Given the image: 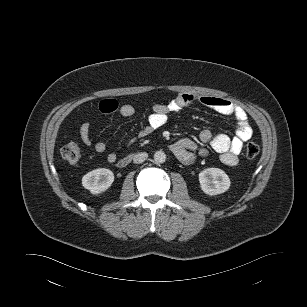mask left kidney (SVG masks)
Listing matches in <instances>:
<instances>
[{
    "mask_svg": "<svg viewBox=\"0 0 307 307\" xmlns=\"http://www.w3.org/2000/svg\"><path fill=\"white\" fill-rule=\"evenodd\" d=\"M202 191L207 195H217L226 192L230 187L228 175L219 168H207L199 173Z\"/></svg>",
    "mask_w": 307,
    "mask_h": 307,
    "instance_id": "5707ae66",
    "label": "left kidney"
}]
</instances>
